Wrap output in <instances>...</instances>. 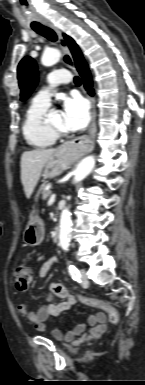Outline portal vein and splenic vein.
Masks as SVG:
<instances>
[{"label": "portal vein and splenic vein", "instance_id": "obj_1", "mask_svg": "<svg viewBox=\"0 0 145 385\" xmlns=\"http://www.w3.org/2000/svg\"><path fill=\"white\" fill-rule=\"evenodd\" d=\"M55 197H56V195H55V194H52L51 197H50V199H49V202L55 201Z\"/></svg>", "mask_w": 145, "mask_h": 385}]
</instances>
